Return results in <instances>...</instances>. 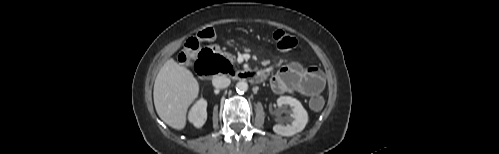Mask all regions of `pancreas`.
<instances>
[{"instance_id": "pancreas-1", "label": "pancreas", "mask_w": 499, "mask_h": 154, "mask_svg": "<svg viewBox=\"0 0 499 154\" xmlns=\"http://www.w3.org/2000/svg\"><path fill=\"white\" fill-rule=\"evenodd\" d=\"M229 58H230L231 61H233L235 59L234 56H230Z\"/></svg>"}]
</instances>
